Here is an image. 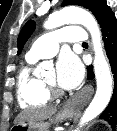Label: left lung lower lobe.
I'll use <instances>...</instances> for the list:
<instances>
[{
    "mask_svg": "<svg viewBox=\"0 0 117 131\" xmlns=\"http://www.w3.org/2000/svg\"><path fill=\"white\" fill-rule=\"evenodd\" d=\"M107 57L114 77V91L108 107L101 114L100 118L105 119L114 127L117 123V19L108 5L97 16ZM87 79L94 78L93 67L88 66Z\"/></svg>",
    "mask_w": 117,
    "mask_h": 131,
    "instance_id": "left-lung-lower-lobe-1",
    "label": "left lung lower lobe"
}]
</instances>
